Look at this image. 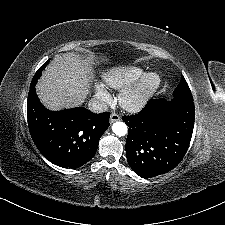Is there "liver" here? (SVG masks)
Masks as SVG:
<instances>
[{
	"label": "liver",
	"instance_id": "liver-1",
	"mask_svg": "<svg viewBox=\"0 0 225 225\" xmlns=\"http://www.w3.org/2000/svg\"><path fill=\"white\" fill-rule=\"evenodd\" d=\"M92 73L79 56H56L37 85L38 95L52 110L81 105L90 93Z\"/></svg>",
	"mask_w": 225,
	"mask_h": 225
}]
</instances>
